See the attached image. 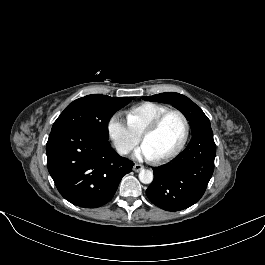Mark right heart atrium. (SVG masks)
<instances>
[{
  "label": "right heart atrium",
  "instance_id": "d8ad5b80",
  "mask_svg": "<svg viewBox=\"0 0 265 265\" xmlns=\"http://www.w3.org/2000/svg\"><path fill=\"white\" fill-rule=\"evenodd\" d=\"M107 130L120 154L129 153L139 141V135L129 127L119 114L111 115L107 122Z\"/></svg>",
  "mask_w": 265,
  "mask_h": 265
}]
</instances>
